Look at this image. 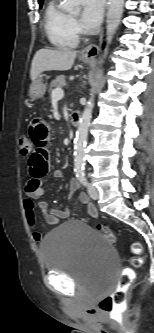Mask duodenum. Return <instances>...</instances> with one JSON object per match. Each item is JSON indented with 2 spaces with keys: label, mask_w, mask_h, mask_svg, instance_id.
I'll use <instances>...</instances> for the list:
<instances>
[{
  "label": "duodenum",
  "mask_w": 154,
  "mask_h": 333,
  "mask_svg": "<svg viewBox=\"0 0 154 333\" xmlns=\"http://www.w3.org/2000/svg\"><path fill=\"white\" fill-rule=\"evenodd\" d=\"M81 120V112L78 110L72 111L71 117H70V122L73 126L77 127L80 124Z\"/></svg>",
  "instance_id": "duodenum-1"
}]
</instances>
